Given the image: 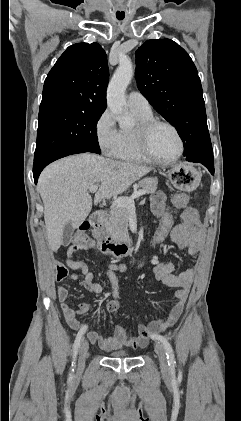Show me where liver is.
I'll list each match as a JSON object with an SVG mask.
<instances>
[{
    "mask_svg": "<svg viewBox=\"0 0 241 421\" xmlns=\"http://www.w3.org/2000/svg\"><path fill=\"white\" fill-rule=\"evenodd\" d=\"M151 170L145 165L116 161L91 153L69 156L47 166L39 177L38 189L44 204L50 249L57 251L60 248L67 223L77 228L91 212L90 186L100 184L94 197V203L98 204L106 198L122 194Z\"/></svg>",
    "mask_w": 241,
    "mask_h": 421,
    "instance_id": "1",
    "label": "liver"
}]
</instances>
